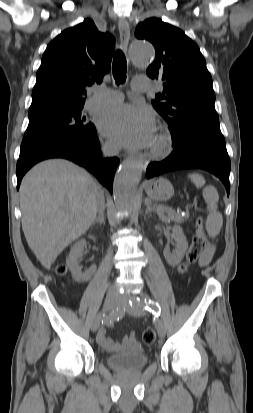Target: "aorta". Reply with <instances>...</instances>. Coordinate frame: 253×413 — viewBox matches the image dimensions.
I'll use <instances>...</instances> for the list:
<instances>
[{"mask_svg":"<svg viewBox=\"0 0 253 413\" xmlns=\"http://www.w3.org/2000/svg\"><path fill=\"white\" fill-rule=\"evenodd\" d=\"M132 61L139 66L147 67L154 58L153 46L145 40H134L129 47ZM143 163L136 157L127 158L114 179V201L118 209L131 211L134 207L138 184L141 179Z\"/></svg>","mask_w":253,"mask_h":413,"instance_id":"aorta-1","label":"aorta"}]
</instances>
